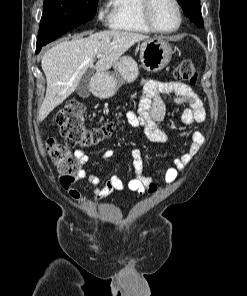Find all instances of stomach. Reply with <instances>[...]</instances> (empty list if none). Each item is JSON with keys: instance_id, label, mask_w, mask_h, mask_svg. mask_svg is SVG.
Segmentation results:
<instances>
[{"instance_id": "1", "label": "stomach", "mask_w": 247, "mask_h": 296, "mask_svg": "<svg viewBox=\"0 0 247 296\" xmlns=\"http://www.w3.org/2000/svg\"><path fill=\"white\" fill-rule=\"evenodd\" d=\"M173 49L163 37L145 40L140 46L142 67L149 72H158L168 65ZM114 73H97L93 78L94 94L108 98L115 94L123 82H132L138 76V65L129 56L121 57L114 65Z\"/></svg>"}]
</instances>
